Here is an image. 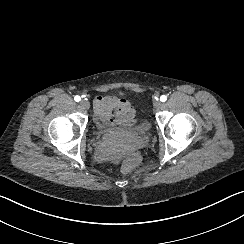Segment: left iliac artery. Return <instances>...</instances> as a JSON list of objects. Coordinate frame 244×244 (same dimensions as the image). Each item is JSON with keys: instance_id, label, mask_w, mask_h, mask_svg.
<instances>
[{"instance_id": "obj_1", "label": "left iliac artery", "mask_w": 244, "mask_h": 244, "mask_svg": "<svg viewBox=\"0 0 244 244\" xmlns=\"http://www.w3.org/2000/svg\"><path fill=\"white\" fill-rule=\"evenodd\" d=\"M167 100V97L165 95H162L160 97V101L165 102Z\"/></svg>"}]
</instances>
